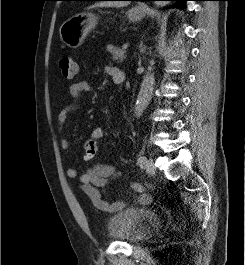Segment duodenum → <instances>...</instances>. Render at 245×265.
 Wrapping results in <instances>:
<instances>
[{
    "label": "duodenum",
    "instance_id": "obj_1",
    "mask_svg": "<svg viewBox=\"0 0 245 265\" xmlns=\"http://www.w3.org/2000/svg\"><path fill=\"white\" fill-rule=\"evenodd\" d=\"M125 81V78H123L122 80L118 79L116 81H114L116 84L120 85V84H123Z\"/></svg>",
    "mask_w": 245,
    "mask_h": 265
}]
</instances>
